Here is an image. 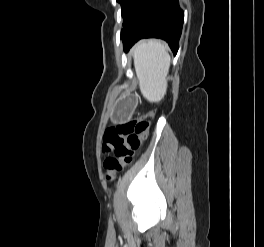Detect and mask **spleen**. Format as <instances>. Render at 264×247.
<instances>
[{
  "label": "spleen",
  "instance_id": "spleen-1",
  "mask_svg": "<svg viewBox=\"0 0 264 247\" xmlns=\"http://www.w3.org/2000/svg\"><path fill=\"white\" fill-rule=\"evenodd\" d=\"M133 56L143 96L150 101L161 100L166 93L170 67L167 47L159 41L148 40L135 46Z\"/></svg>",
  "mask_w": 264,
  "mask_h": 247
}]
</instances>
